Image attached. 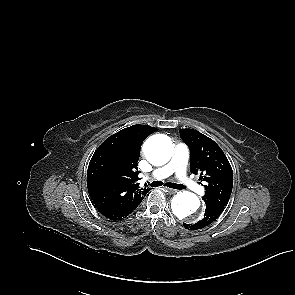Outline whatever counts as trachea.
<instances>
[{
    "label": "trachea",
    "mask_w": 295,
    "mask_h": 295,
    "mask_svg": "<svg viewBox=\"0 0 295 295\" xmlns=\"http://www.w3.org/2000/svg\"><path fill=\"white\" fill-rule=\"evenodd\" d=\"M149 185L151 187H159V186H162L163 185V182H161V181H154V182L150 183ZM165 185L167 187H170V188H173V189H184V186L181 185V184H176V183L168 182V183H165Z\"/></svg>",
    "instance_id": "3493384b"
}]
</instances>
